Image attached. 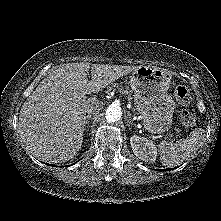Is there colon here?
I'll return each instance as SVG.
<instances>
[{"instance_id":"1","label":"colon","mask_w":221,"mask_h":221,"mask_svg":"<svg viewBox=\"0 0 221 221\" xmlns=\"http://www.w3.org/2000/svg\"><path fill=\"white\" fill-rule=\"evenodd\" d=\"M176 100L182 104L187 105L191 102V93L185 85H178L174 91ZM181 121L186 127H193L196 124L195 116L188 110H184L181 114Z\"/></svg>"}]
</instances>
